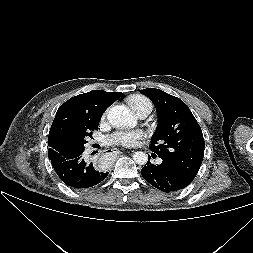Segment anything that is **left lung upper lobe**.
I'll use <instances>...</instances> for the list:
<instances>
[{
  "label": "left lung upper lobe",
  "mask_w": 253,
  "mask_h": 253,
  "mask_svg": "<svg viewBox=\"0 0 253 253\" xmlns=\"http://www.w3.org/2000/svg\"><path fill=\"white\" fill-rule=\"evenodd\" d=\"M140 92L151 99L158 116L150 149L162 160L195 178L204 157L205 143L189 107L181 99L159 89L147 88Z\"/></svg>",
  "instance_id": "1"
}]
</instances>
